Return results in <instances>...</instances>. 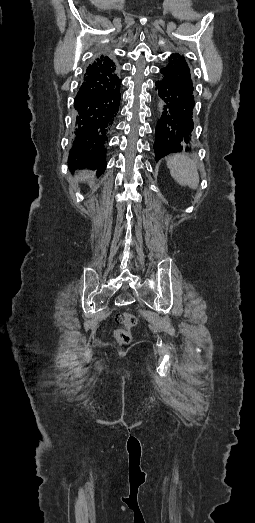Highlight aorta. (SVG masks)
I'll list each match as a JSON object with an SVG mask.
<instances>
[{
  "instance_id": "obj_1",
  "label": "aorta",
  "mask_w": 255,
  "mask_h": 523,
  "mask_svg": "<svg viewBox=\"0 0 255 523\" xmlns=\"http://www.w3.org/2000/svg\"><path fill=\"white\" fill-rule=\"evenodd\" d=\"M162 106H163L162 101L158 100V102H157V109H158L159 112H160V110H162Z\"/></svg>"
}]
</instances>
